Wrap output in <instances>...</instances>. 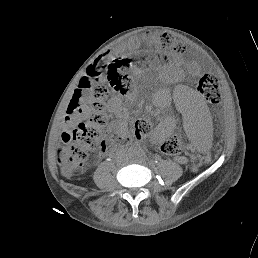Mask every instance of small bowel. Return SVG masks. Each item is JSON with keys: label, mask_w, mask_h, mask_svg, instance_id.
Masks as SVG:
<instances>
[{"label": "small bowel", "mask_w": 258, "mask_h": 258, "mask_svg": "<svg viewBox=\"0 0 258 258\" xmlns=\"http://www.w3.org/2000/svg\"><path fill=\"white\" fill-rule=\"evenodd\" d=\"M138 44H139V41L137 39H131L126 46V49H134L138 46ZM82 114H84V112H82ZM179 160L184 161L183 158H180Z\"/></svg>", "instance_id": "c3829d8e"}]
</instances>
